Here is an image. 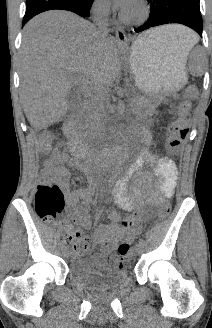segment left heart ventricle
Returning a JSON list of instances; mask_svg holds the SVG:
<instances>
[{
	"label": "left heart ventricle",
	"mask_w": 212,
	"mask_h": 328,
	"mask_svg": "<svg viewBox=\"0 0 212 328\" xmlns=\"http://www.w3.org/2000/svg\"><path fill=\"white\" fill-rule=\"evenodd\" d=\"M129 11H130L131 13H136V9H135L133 6L129 9Z\"/></svg>",
	"instance_id": "obj_1"
}]
</instances>
